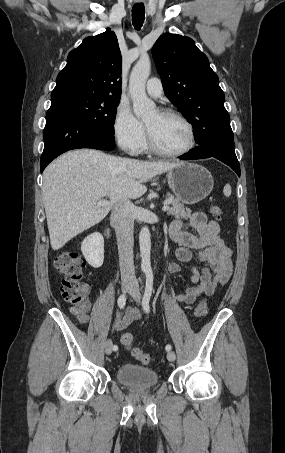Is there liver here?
I'll return each instance as SVG.
<instances>
[{"label": "liver", "instance_id": "obj_1", "mask_svg": "<svg viewBox=\"0 0 285 453\" xmlns=\"http://www.w3.org/2000/svg\"><path fill=\"white\" fill-rule=\"evenodd\" d=\"M179 163L115 157L93 149L67 152L43 173V202L50 243L59 250L69 240L103 220L114 204L137 199L150 178ZM108 197L109 201L101 200Z\"/></svg>", "mask_w": 285, "mask_h": 453}]
</instances>
